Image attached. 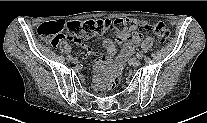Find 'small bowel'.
Listing matches in <instances>:
<instances>
[{"label":"small bowel","instance_id":"obj_1","mask_svg":"<svg viewBox=\"0 0 207 123\" xmlns=\"http://www.w3.org/2000/svg\"><path fill=\"white\" fill-rule=\"evenodd\" d=\"M117 34V41L123 46V50L120 54V58L126 60L129 56L132 55L140 41L143 39V34L138 31L128 32L121 31L119 29L113 28ZM76 44L83 48L87 55H97V52L93 50L89 45L85 44L82 40H75ZM103 47L106 50V55L102 57V60L105 62H111L116 53L115 43L109 39L105 38L103 40Z\"/></svg>","mask_w":207,"mask_h":123}]
</instances>
